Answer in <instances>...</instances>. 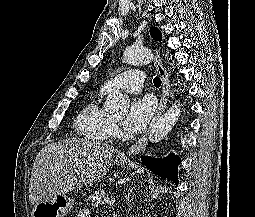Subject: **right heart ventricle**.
Listing matches in <instances>:
<instances>
[{"label": "right heart ventricle", "instance_id": "right-heart-ventricle-1", "mask_svg": "<svg viewBox=\"0 0 255 217\" xmlns=\"http://www.w3.org/2000/svg\"><path fill=\"white\" fill-rule=\"evenodd\" d=\"M107 91L102 87L81 109L75 126L82 136L93 141H104L112 134V116L102 107L101 100Z\"/></svg>", "mask_w": 255, "mask_h": 217}]
</instances>
